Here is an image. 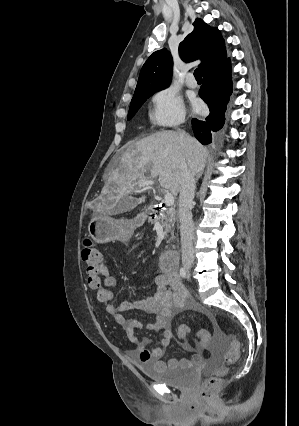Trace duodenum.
Segmentation results:
<instances>
[{
    "label": "duodenum",
    "instance_id": "410a0bca",
    "mask_svg": "<svg viewBox=\"0 0 299 426\" xmlns=\"http://www.w3.org/2000/svg\"><path fill=\"white\" fill-rule=\"evenodd\" d=\"M159 264L162 268H172L178 264V253L169 249L164 251L159 258Z\"/></svg>",
    "mask_w": 299,
    "mask_h": 426
}]
</instances>
